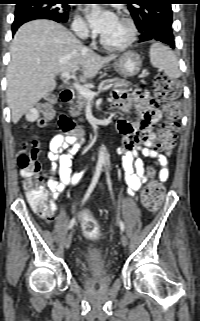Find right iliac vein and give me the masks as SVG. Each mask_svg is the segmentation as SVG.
I'll return each instance as SVG.
<instances>
[{
  "label": "right iliac vein",
  "mask_w": 200,
  "mask_h": 321,
  "mask_svg": "<svg viewBox=\"0 0 200 321\" xmlns=\"http://www.w3.org/2000/svg\"><path fill=\"white\" fill-rule=\"evenodd\" d=\"M71 241H72V232H70L66 237V240H65V247L66 248L70 247Z\"/></svg>",
  "instance_id": "63e3f726"
}]
</instances>
